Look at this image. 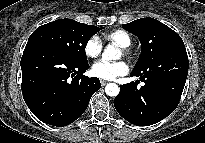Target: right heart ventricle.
I'll list each match as a JSON object with an SVG mask.
<instances>
[{"label":"right heart ventricle","instance_id":"1","mask_svg":"<svg viewBox=\"0 0 205 143\" xmlns=\"http://www.w3.org/2000/svg\"><path fill=\"white\" fill-rule=\"evenodd\" d=\"M104 39L120 46L121 48H128L132 43L131 36L122 29H117L104 34Z\"/></svg>","mask_w":205,"mask_h":143}]
</instances>
